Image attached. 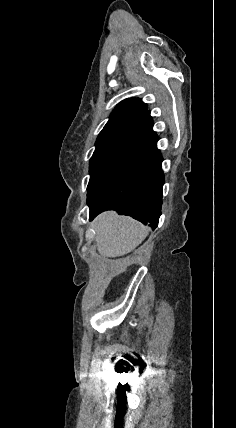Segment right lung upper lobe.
Wrapping results in <instances>:
<instances>
[{
  "mask_svg": "<svg viewBox=\"0 0 236 428\" xmlns=\"http://www.w3.org/2000/svg\"><path fill=\"white\" fill-rule=\"evenodd\" d=\"M147 105L138 98L120 102L100 132L94 153L131 143H145L155 132Z\"/></svg>",
  "mask_w": 236,
  "mask_h": 428,
  "instance_id": "cb5924a9",
  "label": "right lung upper lobe"
}]
</instances>
